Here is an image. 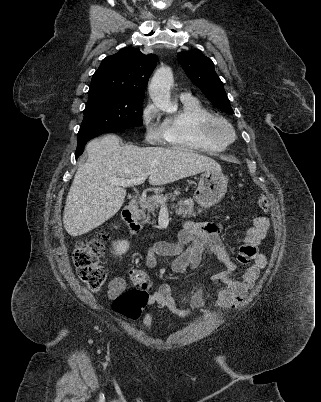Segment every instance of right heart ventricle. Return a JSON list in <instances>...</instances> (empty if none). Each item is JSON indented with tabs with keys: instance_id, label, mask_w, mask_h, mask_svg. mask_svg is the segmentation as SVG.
I'll use <instances>...</instances> for the list:
<instances>
[{
	"instance_id": "1",
	"label": "right heart ventricle",
	"mask_w": 321,
	"mask_h": 402,
	"mask_svg": "<svg viewBox=\"0 0 321 402\" xmlns=\"http://www.w3.org/2000/svg\"><path fill=\"white\" fill-rule=\"evenodd\" d=\"M211 114L197 98L181 99V110L162 123L163 139L167 145L195 152L213 154L224 146L207 139L201 132L199 122Z\"/></svg>"
}]
</instances>
